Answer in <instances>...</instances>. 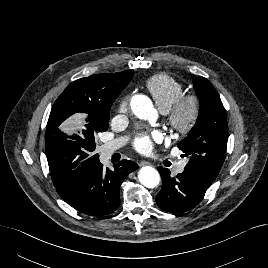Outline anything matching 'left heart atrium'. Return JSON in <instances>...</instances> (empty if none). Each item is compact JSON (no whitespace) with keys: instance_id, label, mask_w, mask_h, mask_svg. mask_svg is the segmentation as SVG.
<instances>
[{"instance_id":"obj_1","label":"left heart atrium","mask_w":268,"mask_h":268,"mask_svg":"<svg viewBox=\"0 0 268 268\" xmlns=\"http://www.w3.org/2000/svg\"><path fill=\"white\" fill-rule=\"evenodd\" d=\"M163 134L160 131H153L150 134H143L134 141V147L143 154L151 153L155 141H162Z\"/></svg>"}]
</instances>
